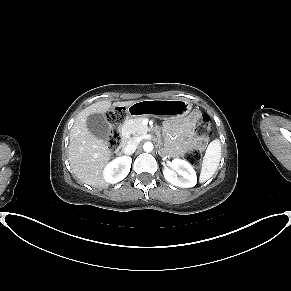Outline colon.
<instances>
[{"label": "colon", "instance_id": "1", "mask_svg": "<svg viewBox=\"0 0 291 291\" xmlns=\"http://www.w3.org/2000/svg\"><path fill=\"white\" fill-rule=\"evenodd\" d=\"M127 119V110L124 107H118L111 110L107 114V121L111 125L108 134V147L115 151L122 143V137L119 131V126ZM212 123L208 115H202L195 127L194 133L199 141H205L211 133ZM185 158L194 166H198L201 162V153L197 149H192L185 154Z\"/></svg>", "mask_w": 291, "mask_h": 291}]
</instances>
